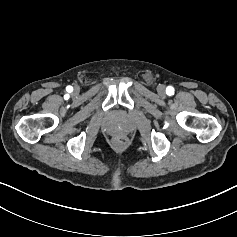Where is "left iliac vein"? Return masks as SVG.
<instances>
[{
  "label": "left iliac vein",
  "mask_w": 237,
  "mask_h": 237,
  "mask_svg": "<svg viewBox=\"0 0 237 237\" xmlns=\"http://www.w3.org/2000/svg\"><path fill=\"white\" fill-rule=\"evenodd\" d=\"M157 91L160 94H163L165 92V86L163 84H159L157 87Z\"/></svg>",
  "instance_id": "1"
}]
</instances>
